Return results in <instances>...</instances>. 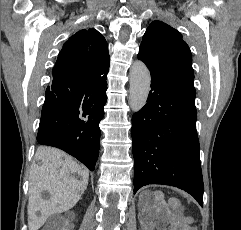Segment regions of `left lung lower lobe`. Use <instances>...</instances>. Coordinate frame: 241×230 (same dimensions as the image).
Instances as JSON below:
<instances>
[{
  "instance_id": "left-lung-lower-lobe-1",
  "label": "left lung lower lobe",
  "mask_w": 241,
  "mask_h": 230,
  "mask_svg": "<svg viewBox=\"0 0 241 230\" xmlns=\"http://www.w3.org/2000/svg\"><path fill=\"white\" fill-rule=\"evenodd\" d=\"M150 73L147 104L132 117L134 193L148 184L171 185L203 206L194 85Z\"/></svg>"
}]
</instances>
